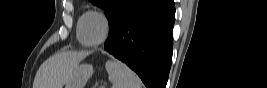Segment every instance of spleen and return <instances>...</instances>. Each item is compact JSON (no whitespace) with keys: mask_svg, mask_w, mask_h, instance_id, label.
Returning <instances> with one entry per match:
<instances>
[{"mask_svg":"<svg viewBox=\"0 0 267 88\" xmlns=\"http://www.w3.org/2000/svg\"><path fill=\"white\" fill-rule=\"evenodd\" d=\"M112 83V88H143L138 75L127 65L117 60H109L105 64Z\"/></svg>","mask_w":267,"mask_h":88,"instance_id":"spleen-1","label":"spleen"}]
</instances>
